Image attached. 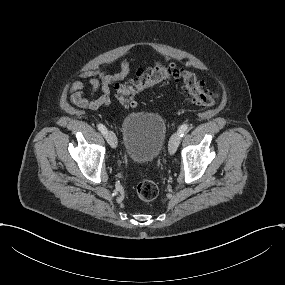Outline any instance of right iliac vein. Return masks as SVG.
Listing matches in <instances>:
<instances>
[{
    "instance_id": "1",
    "label": "right iliac vein",
    "mask_w": 285,
    "mask_h": 285,
    "mask_svg": "<svg viewBox=\"0 0 285 285\" xmlns=\"http://www.w3.org/2000/svg\"><path fill=\"white\" fill-rule=\"evenodd\" d=\"M106 139H107L108 144L112 148H115L117 146V138H116L115 134L112 131H107Z\"/></svg>"
}]
</instances>
